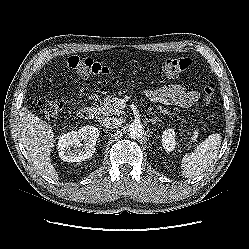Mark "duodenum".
I'll list each match as a JSON object with an SVG mask.
<instances>
[{
    "instance_id": "1",
    "label": "duodenum",
    "mask_w": 249,
    "mask_h": 249,
    "mask_svg": "<svg viewBox=\"0 0 249 249\" xmlns=\"http://www.w3.org/2000/svg\"><path fill=\"white\" fill-rule=\"evenodd\" d=\"M98 110L94 106H85L78 110V115L81 119L88 120L97 116Z\"/></svg>"
}]
</instances>
